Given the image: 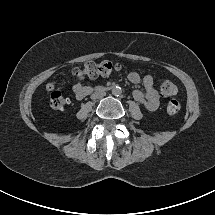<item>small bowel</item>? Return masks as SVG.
<instances>
[{
	"mask_svg": "<svg viewBox=\"0 0 215 215\" xmlns=\"http://www.w3.org/2000/svg\"><path fill=\"white\" fill-rule=\"evenodd\" d=\"M129 80L133 84L142 82L145 93L136 92L134 95L135 99L142 103L147 109L154 110L158 105L159 95L153 87V79L150 76L141 78L138 74L131 73L129 75ZM73 91L78 98H83L90 94L92 89L78 84L73 87Z\"/></svg>",
	"mask_w": 215,
	"mask_h": 215,
	"instance_id": "1",
	"label": "small bowel"
}]
</instances>
